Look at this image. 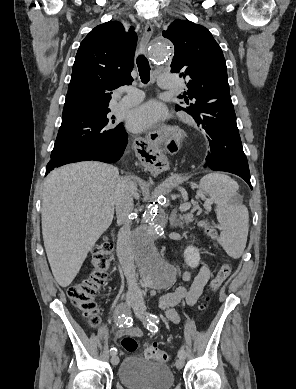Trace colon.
I'll return each instance as SVG.
<instances>
[{
	"label": "colon",
	"mask_w": 296,
	"mask_h": 389,
	"mask_svg": "<svg viewBox=\"0 0 296 389\" xmlns=\"http://www.w3.org/2000/svg\"><path fill=\"white\" fill-rule=\"evenodd\" d=\"M201 225L212 240H217V232L207 220H203ZM112 257V244L107 239L97 243L92 249L91 271L79 282L71 285L67 291L71 303L87 318L91 326H97L100 321L95 297L109 278ZM232 270L233 268L230 264H224L220 267L210 282L212 293L219 290L231 275ZM209 299L207 298V301ZM205 307L206 304L201 305V309ZM122 347L127 352H135L138 344L135 338L126 336L122 339ZM145 355L148 359L160 363H168L170 361V355L156 346L147 347Z\"/></svg>",
	"instance_id": "obj_1"
}]
</instances>
